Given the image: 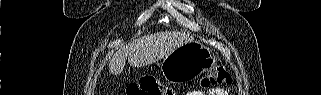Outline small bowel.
<instances>
[{
	"label": "small bowel",
	"instance_id": "c3829d8e",
	"mask_svg": "<svg viewBox=\"0 0 321 95\" xmlns=\"http://www.w3.org/2000/svg\"><path fill=\"white\" fill-rule=\"evenodd\" d=\"M224 95L225 91L223 89H211L207 93L203 92H190L188 95Z\"/></svg>",
	"mask_w": 321,
	"mask_h": 95
}]
</instances>
